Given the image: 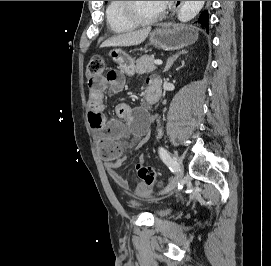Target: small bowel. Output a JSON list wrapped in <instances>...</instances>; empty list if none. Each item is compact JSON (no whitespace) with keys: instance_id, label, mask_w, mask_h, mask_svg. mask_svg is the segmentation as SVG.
I'll list each match as a JSON object with an SVG mask.
<instances>
[{"instance_id":"1","label":"small bowel","mask_w":271,"mask_h":266,"mask_svg":"<svg viewBox=\"0 0 271 266\" xmlns=\"http://www.w3.org/2000/svg\"><path fill=\"white\" fill-rule=\"evenodd\" d=\"M155 82L149 80V84ZM125 77L120 69L109 68L105 74L90 77L88 83L89 98L87 116L90 126L99 132V149L106 169L114 182L124 191H133L145 197L151 188L145 183H138L134 188L119 174L118 167L122 158L121 141L129 134L139 138L148 135L149 124L144 116L135 117L134 110L126 103L116 105L115 112L119 120H107L104 111V91L119 92L123 89Z\"/></svg>"}]
</instances>
